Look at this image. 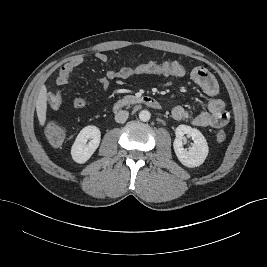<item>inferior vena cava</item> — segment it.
<instances>
[{
    "label": "inferior vena cava",
    "mask_w": 267,
    "mask_h": 267,
    "mask_svg": "<svg viewBox=\"0 0 267 267\" xmlns=\"http://www.w3.org/2000/svg\"><path fill=\"white\" fill-rule=\"evenodd\" d=\"M129 112L126 110H120L115 114V121L117 123H125L128 119Z\"/></svg>",
    "instance_id": "inferior-vena-cava-1"
}]
</instances>
